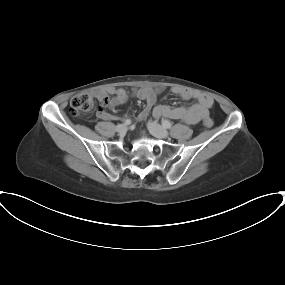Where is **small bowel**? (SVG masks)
I'll return each mask as SVG.
<instances>
[{"label": "small bowel", "instance_id": "obj_1", "mask_svg": "<svg viewBox=\"0 0 285 285\" xmlns=\"http://www.w3.org/2000/svg\"><path fill=\"white\" fill-rule=\"evenodd\" d=\"M172 92L182 99H194L196 104L189 107H170L167 105H157L158 90L150 87H134L130 91L123 88H95L93 94L99 101H103L108 97V93L113 95V98L108 104L111 107H117L125 104L130 98H137L146 101V105L143 110L137 115L136 120L144 121L152 112L156 118L167 117L170 119L182 120L188 124H196L203 118L209 115V110L213 106V99L198 91H190L181 88H173ZM97 116L103 120H110L112 115L100 109L97 111Z\"/></svg>", "mask_w": 285, "mask_h": 285}]
</instances>
